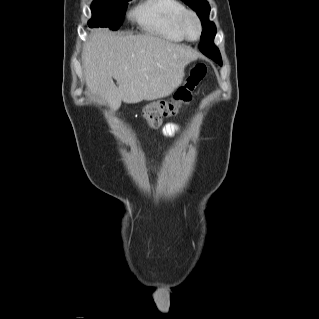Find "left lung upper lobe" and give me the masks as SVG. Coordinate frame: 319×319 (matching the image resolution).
Wrapping results in <instances>:
<instances>
[{"instance_id": "left-lung-upper-lobe-1", "label": "left lung upper lobe", "mask_w": 319, "mask_h": 319, "mask_svg": "<svg viewBox=\"0 0 319 319\" xmlns=\"http://www.w3.org/2000/svg\"><path fill=\"white\" fill-rule=\"evenodd\" d=\"M188 6H190L194 11H196L197 15L199 16L200 20L202 21L203 31L201 34V42L199 44L200 50H206L205 46L209 47V50L214 54L217 58L215 61L222 65L221 55L218 48L212 43V45H207L208 41L213 42L215 34H216V27L213 22L209 20V13H210V6L206 0H182ZM208 40V41H207Z\"/></svg>"}]
</instances>
